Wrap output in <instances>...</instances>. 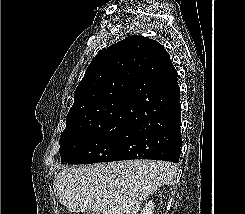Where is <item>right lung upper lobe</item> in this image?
<instances>
[{"instance_id": "cb5924a9", "label": "right lung upper lobe", "mask_w": 245, "mask_h": 214, "mask_svg": "<svg viewBox=\"0 0 245 214\" xmlns=\"http://www.w3.org/2000/svg\"><path fill=\"white\" fill-rule=\"evenodd\" d=\"M167 51L155 40L133 35L101 50L74 93L66 129H93L132 122L142 96L166 83Z\"/></svg>"}]
</instances>
